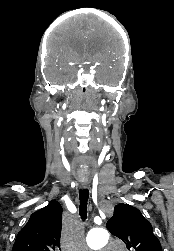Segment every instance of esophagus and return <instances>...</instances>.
<instances>
[{"label": "esophagus", "instance_id": "esophagus-1", "mask_svg": "<svg viewBox=\"0 0 174 251\" xmlns=\"http://www.w3.org/2000/svg\"><path fill=\"white\" fill-rule=\"evenodd\" d=\"M82 186H83L84 188H86V187H87V184H86V183H83Z\"/></svg>", "mask_w": 174, "mask_h": 251}]
</instances>
